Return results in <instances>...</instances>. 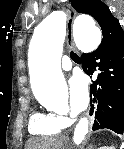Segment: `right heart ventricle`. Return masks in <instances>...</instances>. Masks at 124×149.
Masks as SVG:
<instances>
[{
	"label": "right heart ventricle",
	"mask_w": 124,
	"mask_h": 149,
	"mask_svg": "<svg viewBox=\"0 0 124 149\" xmlns=\"http://www.w3.org/2000/svg\"><path fill=\"white\" fill-rule=\"evenodd\" d=\"M64 127L58 116L50 112H35L29 120V132L41 138L56 136Z\"/></svg>",
	"instance_id": "1"
}]
</instances>
